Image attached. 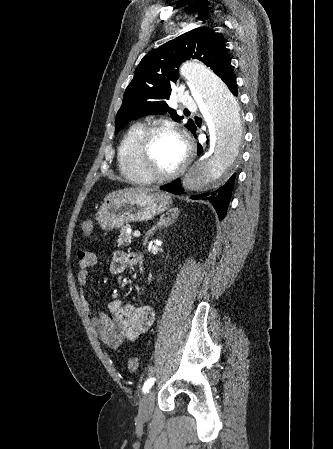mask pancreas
<instances>
[{
	"instance_id": "1",
	"label": "pancreas",
	"mask_w": 333,
	"mask_h": 449,
	"mask_svg": "<svg viewBox=\"0 0 333 449\" xmlns=\"http://www.w3.org/2000/svg\"><path fill=\"white\" fill-rule=\"evenodd\" d=\"M127 227H124L117 240L118 246L129 245L132 241V236L130 233L126 232Z\"/></svg>"
}]
</instances>
